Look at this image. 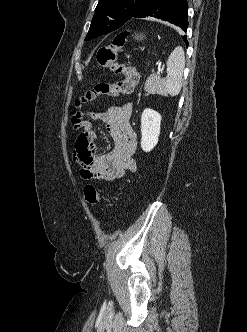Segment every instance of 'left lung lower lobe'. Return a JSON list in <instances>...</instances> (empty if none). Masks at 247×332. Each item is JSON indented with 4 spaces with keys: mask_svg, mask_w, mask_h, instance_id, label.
I'll use <instances>...</instances> for the list:
<instances>
[{
    "mask_svg": "<svg viewBox=\"0 0 247 332\" xmlns=\"http://www.w3.org/2000/svg\"><path fill=\"white\" fill-rule=\"evenodd\" d=\"M187 12V0H146L132 18H158L179 26L186 32L188 28ZM182 38L188 46L186 36Z\"/></svg>",
    "mask_w": 247,
    "mask_h": 332,
    "instance_id": "1",
    "label": "left lung lower lobe"
}]
</instances>
